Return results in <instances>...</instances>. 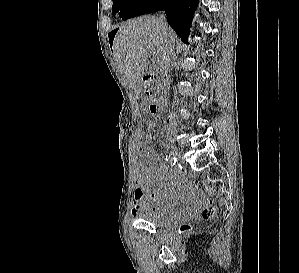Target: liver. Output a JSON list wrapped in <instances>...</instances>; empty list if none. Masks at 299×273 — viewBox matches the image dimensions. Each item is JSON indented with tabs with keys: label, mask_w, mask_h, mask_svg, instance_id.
Masks as SVG:
<instances>
[{
	"label": "liver",
	"mask_w": 299,
	"mask_h": 273,
	"mask_svg": "<svg viewBox=\"0 0 299 273\" xmlns=\"http://www.w3.org/2000/svg\"><path fill=\"white\" fill-rule=\"evenodd\" d=\"M176 44L174 31L155 16L138 17L119 27L113 43L114 58L120 73L137 95L142 89L149 55L157 58L160 67L169 65Z\"/></svg>",
	"instance_id": "obj_1"
}]
</instances>
